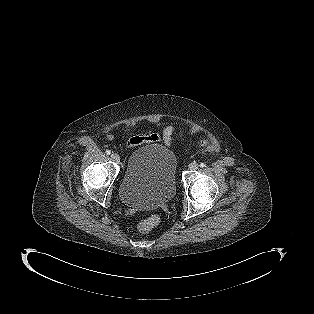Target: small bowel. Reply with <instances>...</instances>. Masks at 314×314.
Returning <instances> with one entry per match:
<instances>
[{"mask_svg": "<svg viewBox=\"0 0 314 314\" xmlns=\"http://www.w3.org/2000/svg\"><path fill=\"white\" fill-rule=\"evenodd\" d=\"M175 127L173 125H168L164 128L161 133H149L143 136H133L126 143L127 148H134L141 143H156L159 141L164 142L165 145L169 146L171 144L172 135L174 133ZM181 136H184V132L181 131ZM208 141L203 140L200 142V146L207 145Z\"/></svg>", "mask_w": 314, "mask_h": 314, "instance_id": "small-bowel-1", "label": "small bowel"}]
</instances>
